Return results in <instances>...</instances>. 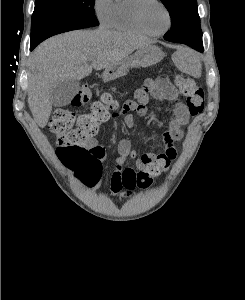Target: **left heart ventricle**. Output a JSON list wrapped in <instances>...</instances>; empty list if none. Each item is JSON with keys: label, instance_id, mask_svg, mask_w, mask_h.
<instances>
[{"label": "left heart ventricle", "instance_id": "1", "mask_svg": "<svg viewBox=\"0 0 245 300\" xmlns=\"http://www.w3.org/2000/svg\"><path fill=\"white\" fill-rule=\"evenodd\" d=\"M143 20L151 31H161L167 25V17L164 10L156 3L149 2L143 10Z\"/></svg>", "mask_w": 245, "mask_h": 300}]
</instances>
